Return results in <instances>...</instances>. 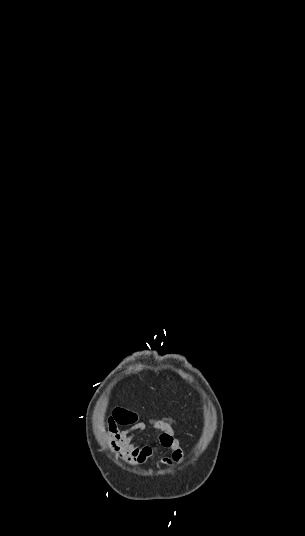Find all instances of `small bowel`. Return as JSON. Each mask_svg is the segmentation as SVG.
<instances>
[{
  "mask_svg": "<svg viewBox=\"0 0 305 536\" xmlns=\"http://www.w3.org/2000/svg\"><path fill=\"white\" fill-rule=\"evenodd\" d=\"M106 433L105 442L109 448L119 457L124 459L129 465L142 466L153 454V447L142 442H136V438L141 433L150 430L158 434V443L170 456L161 458L157 465L172 467L182 461L184 450L180 441L175 437L172 427H131L125 429L124 435L120 434V429L116 426L114 419L109 418L105 422Z\"/></svg>",
  "mask_w": 305,
  "mask_h": 536,
  "instance_id": "small-bowel-1",
  "label": "small bowel"
}]
</instances>
